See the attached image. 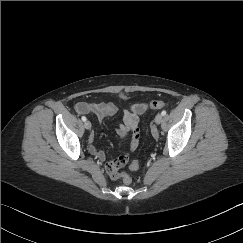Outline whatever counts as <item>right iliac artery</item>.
<instances>
[{
    "label": "right iliac artery",
    "instance_id": "obj_1",
    "mask_svg": "<svg viewBox=\"0 0 243 243\" xmlns=\"http://www.w3.org/2000/svg\"><path fill=\"white\" fill-rule=\"evenodd\" d=\"M82 121H86V117L85 116H82Z\"/></svg>",
    "mask_w": 243,
    "mask_h": 243
}]
</instances>
